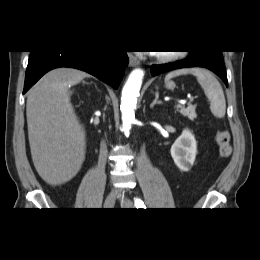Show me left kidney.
<instances>
[{
    "mask_svg": "<svg viewBox=\"0 0 260 260\" xmlns=\"http://www.w3.org/2000/svg\"><path fill=\"white\" fill-rule=\"evenodd\" d=\"M170 152L177 167L184 172L189 171L197 153V143L191 131L184 129L172 145Z\"/></svg>",
    "mask_w": 260,
    "mask_h": 260,
    "instance_id": "1",
    "label": "left kidney"
}]
</instances>
